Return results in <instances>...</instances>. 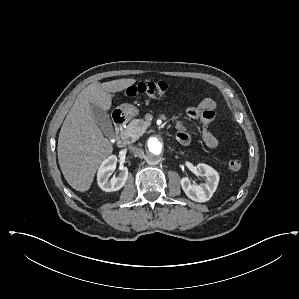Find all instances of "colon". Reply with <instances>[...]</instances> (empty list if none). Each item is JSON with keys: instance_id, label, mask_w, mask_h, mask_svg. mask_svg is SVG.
I'll use <instances>...</instances> for the list:
<instances>
[{"instance_id": "obj_1", "label": "colon", "mask_w": 299, "mask_h": 299, "mask_svg": "<svg viewBox=\"0 0 299 299\" xmlns=\"http://www.w3.org/2000/svg\"><path fill=\"white\" fill-rule=\"evenodd\" d=\"M168 89L167 83L164 81H143L129 86L125 94L129 97L146 96V97H159L166 93ZM231 170H239L242 162L239 159H231L228 162Z\"/></svg>"}]
</instances>
